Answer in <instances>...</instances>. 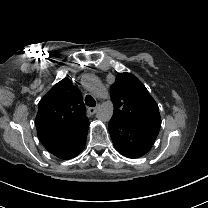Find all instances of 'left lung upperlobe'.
I'll return each instance as SVG.
<instances>
[{"instance_id": "left-lung-upper-lobe-1", "label": "left lung upper lobe", "mask_w": 208, "mask_h": 208, "mask_svg": "<svg viewBox=\"0 0 208 208\" xmlns=\"http://www.w3.org/2000/svg\"><path fill=\"white\" fill-rule=\"evenodd\" d=\"M110 95L114 104L112 118L132 126L154 144L161 118L158 105L143 83L130 73H119Z\"/></svg>"}]
</instances>
